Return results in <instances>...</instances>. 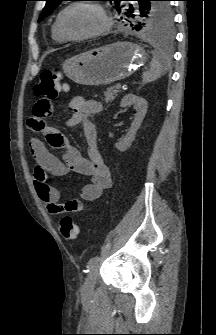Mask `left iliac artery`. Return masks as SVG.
<instances>
[{"mask_svg":"<svg viewBox=\"0 0 216 335\" xmlns=\"http://www.w3.org/2000/svg\"><path fill=\"white\" fill-rule=\"evenodd\" d=\"M99 261V257H92L87 264V271L89 272Z\"/></svg>","mask_w":216,"mask_h":335,"instance_id":"1","label":"left iliac artery"}]
</instances>
